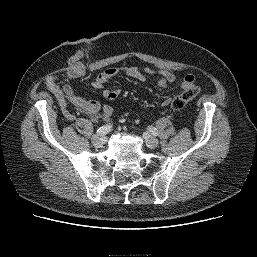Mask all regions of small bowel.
Segmentation results:
<instances>
[{
    "label": "small bowel",
    "mask_w": 257,
    "mask_h": 257,
    "mask_svg": "<svg viewBox=\"0 0 257 257\" xmlns=\"http://www.w3.org/2000/svg\"><path fill=\"white\" fill-rule=\"evenodd\" d=\"M125 73L128 77L145 82L146 75L159 74L161 78L158 86L161 89H168L171 85L184 89L187 85L194 83L193 75H186L182 81L178 80L175 74L169 70H153L151 68H138L136 66L112 67L101 72L92 82V86L96 89L102 88L110 79L116 77L120 73ZM83 75L81 70H71L67 73L62 85L57 84V77L50 76L46 80V86L56 97L64 116L72 120L75 115L68 109L67 104H72L78 111L88 116L91 120H97L100 116L104 121H109L112 110L109 106H101L98 101L87 100L75 93L70 82ZM120 94V89H105L103 97L106 100L113 101ZM170 99L164 100L163 104L168 105ZM100 113V114H99Z\"/></svg>",
    "instance_id": "obj_1"
}]
</instances>
